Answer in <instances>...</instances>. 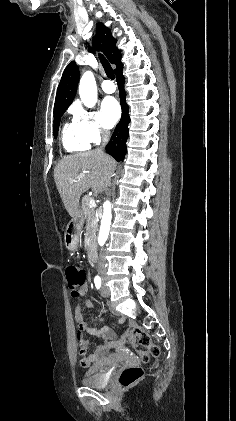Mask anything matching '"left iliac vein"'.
<instances>
[{"label": "left iliac vein", "instance_id": "4c4485c4", "mask_svg": "<svg viewBox=\"0 0 236 421\" xmlns=\"http://www.w3.org/2000/svg\"><path fill=\"white\" fill-rule=\"evenodd\" d=\"M104 284H105V280H103V286H102V289H101V295L103 297H106L109 294V290L105 287Z\"/></svg>", "mask_w": 236, "mask_h": 421}]
</instances>
